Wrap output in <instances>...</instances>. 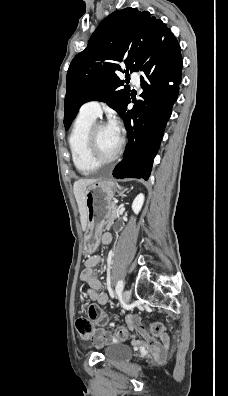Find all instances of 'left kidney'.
Segmentation results:
<instances>
[{
  "label": "left kidney",
  "instance_id": "1",
  "mask_svg": "<svg viewBox=\"0 0 228 396\" xmlns=\"http://www.w3.org/2000/svg\"><path fill=\"white\" fill-rule=\"evenodd\" d=\"M144 203V195L142 193L138 194L132 203V210L135 214L141 211Z\"/></svg>",
  "mask_w": 228,
  "mask_h": 396
}]
</instances>
